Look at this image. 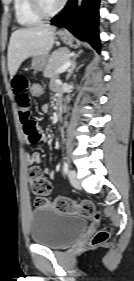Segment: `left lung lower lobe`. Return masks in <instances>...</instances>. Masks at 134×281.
I'll use <instances>...</instances> for the list:
<instances>
[{"mask_svg":"<svg viewBox=\"0 0 134 281\" xmlns=\"http://www.w3.org/2000/svg\"><path fill=\"white\" fill-rule=\"evenodd\" d=\"M99 1L83 0L81 9H78L76 0H71L63 13L51 20V24L68 29L76 37H81L88 41L100 52L98 35Z\"/></svg>","mask_w":134,"mask_h":281,"instance_id":"0a47b994","label":"left lung lower lobe"}]
</instances>
